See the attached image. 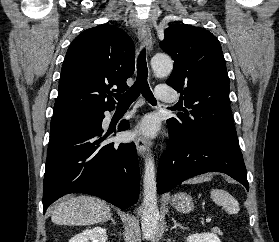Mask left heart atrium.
Returning <instances> with one entry per match:
<instances>
[{"mask_svg":"<svg viewBox=\"0 0 279 242\" xmlns=\"http://www.w3.org/2000/svg\"><path fill=\"white\" fill-rule=\"evenodd\" d=\"M154 133V124L153 122L145 118L143 119L136 127L134 130L133 134L134 135H143V136H150Z\"/></svg>","mask_w":279,"mask_h":242,"instance_id":"left-heart-atrium-1","label":"left heart atrium"}]
</instances>
